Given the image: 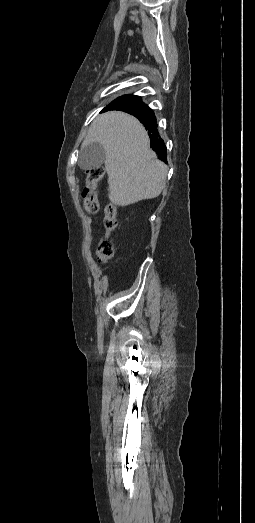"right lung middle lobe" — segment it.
Listing matches in <instances>:
<instances>
[{
    "label": "right lung middle lobe",
    "instance_id": "dd1d6c3e",
    "mask_svg": "<svg viewBox=\"0 0 255 523\" xmlns=\"http://www.w3.org/2000/svg\"><path fill=\"white\" fill-rule=\"evenodd\" d=\"M115 101L130 102V103L141 102L139 96H133V95H125V96H122V97L116 99Z\"/></svg>",
    "mask_w": 255,
    "mask_h": 523
}]
</instances>
